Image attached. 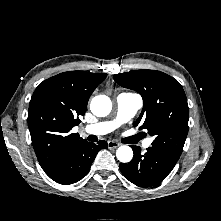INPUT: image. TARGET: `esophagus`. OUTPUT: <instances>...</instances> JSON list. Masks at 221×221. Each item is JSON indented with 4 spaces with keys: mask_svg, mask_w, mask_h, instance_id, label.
I'll use <instances>...</instances> for the list:
<instances>
[{
    "mask_svg": "<svg viewBox=\"0 0 221 221\" xmlns=\"http://www.w3.org/2000/svg\"><path fill=\"white\" fill-rule=\"evenodd\" d=\"M107 145L109 149H116L117 147L120 146V144L115 141H108Z\"/></svg>",
    "mask_w": 221,
    "mask_h": 221,
    "instance_id": "obj_1",
    "label": "esophagus"
}]
</instances>
